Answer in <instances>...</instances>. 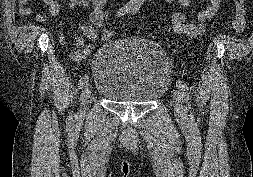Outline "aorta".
I'll use <instances>...</instances> for the list:
<instances>
[{
    "mask_svg": "<svg viewBox=\"0 0 253 177\" xmlns=\"http://www.w3.org/2000/svg\"><path fill=\"white\" fill-rule=\"evenodd\" d=\"M131 1L137 3L138 5H141L145 0H131Z\"/></svg>",
    "mask_w": 253,
    "mask_h": 177,
    "instance_id": "762f6f07",
    "label": "aorta"
}]
</instances>
